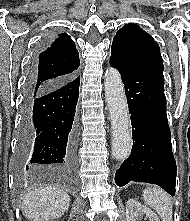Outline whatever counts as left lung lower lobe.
Returning <instances> with one entry per match:
<instances>
[{
  "label": "left lung lower lobe",
  "instance_id": "obj_1",
  "mask_svg": "<svg viewBox=\"0 0 190 221\" xmlns=\"http://www.w3.org/2000/svg\"><path fill=\"white\" fill-rule=\"evenodd\" d=\"M121 74L131 114V154L116 171L115 182L122 187L130 181L157 184L175 194L176 162L172 153L166 115L164 79L153 73L124 68L110 59Z\"/></svg>",
  "mask_w": 190,
  "mask_h": 221
}]
</instances>
